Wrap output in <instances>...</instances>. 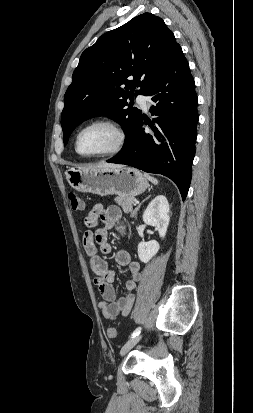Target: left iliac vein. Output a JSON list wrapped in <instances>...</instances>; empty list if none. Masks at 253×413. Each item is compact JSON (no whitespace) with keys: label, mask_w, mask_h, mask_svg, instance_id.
<instances>
[{"label":"left iliac vein","mask_w":253,"mask_h":413,"mask_svg":"<svg viewBox=\"0 0 253 413\" xmlns=\"http://www.w3.org/2000/svg\"><path fill=\"white\" fill-rule=\"evenodd\" d=\"M140 339H141V336L138 335L128 340L122 347L120 351V355L124 356L126 353H128L140 341Z\"/></svg>","instance_id":"4c4485c4"}]
</instances>
